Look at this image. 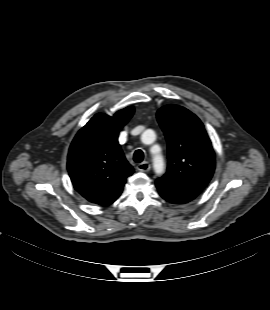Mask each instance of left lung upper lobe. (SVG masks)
<instances>
[{"instance_id":"1","label":"left lung upper lobe","mask_w":270,"mask_h":310,"mask_svg":"<svg viewBox=\"0 0 270 310\" xmlns=\"http://www.w3.org/2000/svg\"><path fill=\"white\" fill-rule=\"evenodd\" d=\"M157 120L168 143V168L159 181L203 190L215 169V153L199 118L184 107L167 105Z\"/></svg>"}]
</instances>
